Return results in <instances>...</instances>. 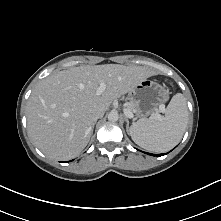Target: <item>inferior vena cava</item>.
<instances>
[{"instance_id":"obj_1","label":"inferior vena cava","mask_w":221,"mask_h":221,"mask_svg":"<svg viewBox=\"0 0 221 221\" xmlns=\"http://www.w3.org/2000/svg\"><path fill=\"white\" fill-rule=\"evenodd\" d=\"M103 115H104V111L103 110H97L96 112L93 113L92 120L94 122H96V120L99 119V118H102Z\"/></svg>"}]
</instances>
